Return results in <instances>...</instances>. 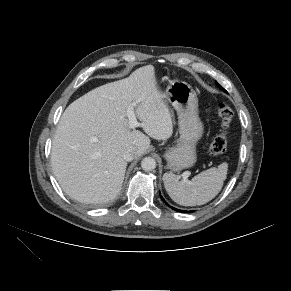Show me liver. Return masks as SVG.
<instances>
[{"label": "liver", "instance_id": "6515ba94", "mask_svg": "<svg viewBox=\"0 0 291 291\" xmlns=\"http://www.w3.org/2000/svg\"><path fill=\"white\" fill-rule=\"evenodd\" d=\"M163 99L155 68L147 65L72 102L60 118L51 153L53 172L64 192L81 203L114 199L127 167L124 151L132 148L138 158L149 148V137L172 136V117ZM130 107L148 136L129 128Z\"/></svg>", "mask_w": 291, "mask_h": 291}]
</instances>
